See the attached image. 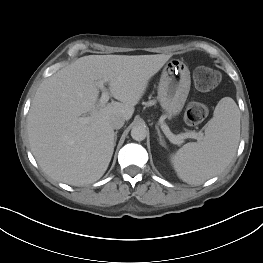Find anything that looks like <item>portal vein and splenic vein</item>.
Segmentation results:
<instances>
[{
	"label": "portal vein and splenic vein",
	"instance_id": "obj_1",
	"mask_svg": "<svg viewBox=\"0 0 263 263\" xmlns=\"http://www.w3.org/2000/svg\"><path fill=\"white\" fill-rule=\"evenodd\" d=\"M98 87L102 91V95H101V98L99 100V103H100V105H105L108 102V100L110 99V93L107 91L103 82H98ZM80 121L87 123L89 121V117H81ZM161 128H162L164 134L168 137V139L174 144H177L179 141L182 142L183 139H185V138H194L197 140H201V138H202L199 133H196L194 131L186 132L184 134L174 135L166 125L162 124Z\"/></svg>",
	"mask_w": 263,
	"mask_h": 263
}]
</instances>
